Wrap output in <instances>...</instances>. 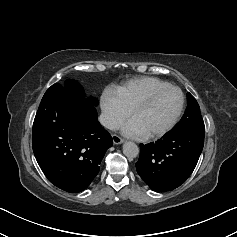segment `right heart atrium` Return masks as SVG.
Returning a JSON list of instances; mask_svg holds the SVG:
<instances>
[{"mask_svg": "<svg viewBox=\"0 0 237 237\" xmlns=\"http://www.w3.org/2000/svg\"><path fill=\"white\" fill-rule=\"evenodd\" d=\"M100 104L103 124L108 129H116L129 116V111L110 89L103 93Z\"/></svg>", "mask_w": 237, "mask_h": 237, "instance_id": "right-heart-atrium-1", "label": "right heart atrium"}]
</instances>
